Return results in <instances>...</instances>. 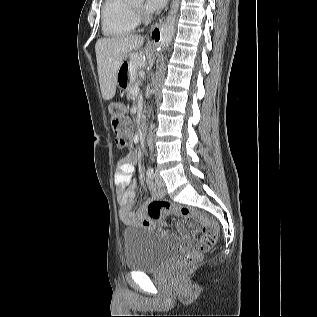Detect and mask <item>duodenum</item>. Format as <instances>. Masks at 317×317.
Masks as SVG:
<instances>
[{"instance_id":"1","label":"duodenum","mask_w":317,"mask_h":317,"mask_svg":"<svg viewBox=\"0 0 317 317\" xmlns=\"http://www.w3.org/2000/svg\"><path fill=\"white\" fill-rule=\"evenodd\" d=\"M139 137H140V139L142 138V137H144V132H143V128L141 127V131L139 132Z\"/></svg>"}]
</instances>
